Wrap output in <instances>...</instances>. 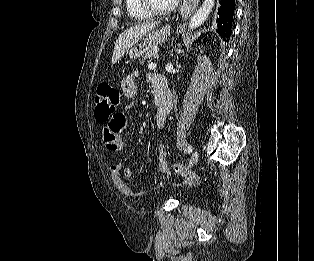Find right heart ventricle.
<instances>
[{"label":"right heart ventricle","mask_w":314,"mask_h":261,"mask_svg":"<svg viewBox=\"0 0 314 261\" xmlns=\"http://www.w3.org/2000/svg\"><path fill=\"white\" fill-rule=\"evenodd\" d=\"M126 9L129 16L135 20H146L151 17L139 4L138 0H125Z\"/></svg>","instance_id":"e07e8e85"}]
</instances>
